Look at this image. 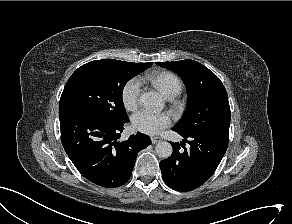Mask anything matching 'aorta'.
I'll return each instance as SVG.
<instances>
[{
    "instance_id": "762f6f07",
    "label": "aorta",
    "mask_w": 292,
    "mask_h": 224,
    "mask_svg": "<svg viewBox=\"0 0 292 224\" xmlns=\"http://www.w3.org/2000/svg\"><path fill=\"white\" fill-rule=\"evenodd\" d=\"M140 103L150 109L160 110L163 108V99L159 93L150 91L141 94ZM156 154L160 158H168L172 155L173 148L169 142L161 141L155 147Z\"/></svg>"
}]
</instances>
